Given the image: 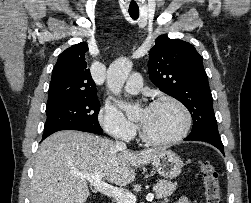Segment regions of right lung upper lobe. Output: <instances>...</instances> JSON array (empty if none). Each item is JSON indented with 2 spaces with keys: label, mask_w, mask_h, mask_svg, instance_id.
I'll use <instances>...</instances> for the list:
<instances>
[{
  "label": "right lung upper lobe",
  "mask_w": 251,
  "mask_h": 203,
  "mask_svg": "<svg viewBox=\"0 0 251 203\" xmlns=\"http://www.w3.org/2000/svg\"><path fill=\"white\" fill-rule=\"evenodd\" d=\"M86 43L73 45L62 52L53 68L47 107L86 98H96V84L87 68Z\"/></svg>",
  "instance_id": "right-lung-upper-lobe-1"
}]
</instances>
